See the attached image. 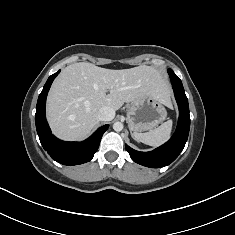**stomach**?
Listing matches in <instances>:
<instances>
[{"label": "stomach", "mask_w": 235, "mask_h": 235, "mask_svg": "<svg viewBox=\"0 0 235 235\" xmlns=\"http://www.w3.org/2000/svg\"><path fill=\"white\" fill-rule=\"evenodd\" d=\"M167 117L164 104L152 94H147L128 104L127 122L131 132L139 134L153 129Z\"/></svg>", "instance_id": "obj_1"}]
</instances>
